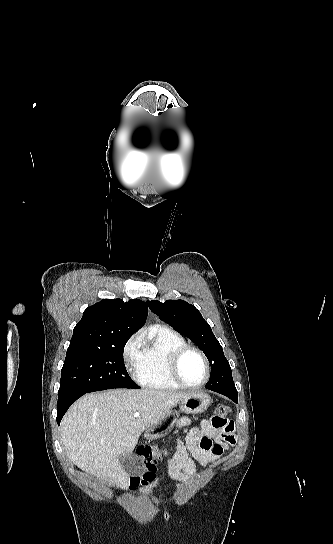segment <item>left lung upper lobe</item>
Returning a JSON list of instances; mask_svg holds the SVG:
<instances>
[{"mask_svg": "<svg viewBox=\"0 0 333 544\" xmlns=\"http://www.w3.org/2000/svg\"><path fill=\"white\" fill-rule=\"evenodd\" d=\"M146 304L162 321L194 341L207 356L211 363V375L205 388L237 392L222 346L194 305L184 300H167L164 303L152 300Z\"/></svg>", "mask_w": 333, "mask_h": 544, "instance_id": "5c2ea615", "label": "left lung upper lobe"}]
</instances>
